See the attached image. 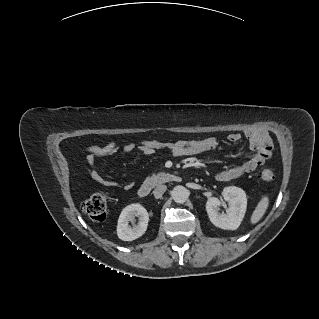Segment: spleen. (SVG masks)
I'll use <instances>...</instances> for the list:
<instances>
[{
	"label": "spleen",
	"mask_w": 319,
	"mask_h": 319,
	"mask_svg": "<svg viewBox=\"0 0 319 319\" xmlns=\"http://www.w3.org/2000/svg\"><path fill=\"white\" fill-rule=\"evenodd\" d=\"M268 206H269V198L267 196H263L251 215V219H250L251 224H256L260 221V219L265 214Z\"/></svg>",
	"instance_id": "obj_1"
}]
</instances>
